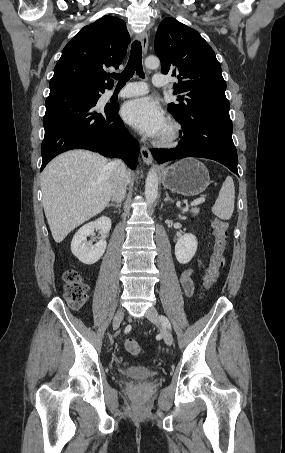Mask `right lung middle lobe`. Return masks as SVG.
Masks as SVG:
<instances>
[{
	"label": "right lung middle lobe",
	"mask_w": 285,
	"mask_h": 453,
	"mask_svg": "<svg viewBox=\"0 0 285 453\" xmlns=\"http://www.w3.org/2000/svg\"><path fill=\"white\" fill-rule=\"evenodd\" d=\"M86 95L96 102L100 97L99 93H95V92H87Z\"/></svg>",
	"instance_id": "dd1d6c3e"
}]
</instances>
